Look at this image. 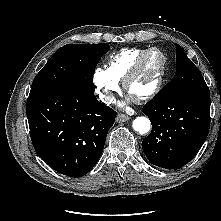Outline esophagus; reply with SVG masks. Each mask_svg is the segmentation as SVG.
I'll return each mask as SVG.
<instances>
[{"label": "esophagus", "instance_id": "obj_1", "mask_svg": "<svg viewBox=\"0 0 221 221\" xmlns=\"http://www.w3.org/2000/svg\"><path fill=\"white\" fill-rule=\"evenodd\" d=\"M130 119L129 116L125 115V114H118L117 117H116V121L118 123H122V122H126Z\"/></svg>", "mask_w": 221, "mask_h": 221}]
</instances>
